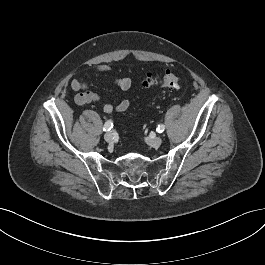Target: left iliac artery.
I'll return each mask as SVG.
<instances>
[{
	"label": "left iliac artery",
	"instance_id": "obj_1",
	"mask_svg": "<svg viewBox=\"0 0 265 265\" xmlns=\"http://www.w3.org/2000/svg\"><path fill=\"white\" fill-rule=\"evenodd\" d=\"M164 130H165V126H164L163 124L158 125V127H157V131H158L159 133H162Z\"/></svg>",
	"mask_w": 265,
	"mask_h": 265
}]
</instances>
